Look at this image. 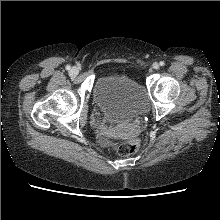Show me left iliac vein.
I'll list each match as a JSON object with an SVG mask.
<instances>
[{"label":"left iliac vein","instance_id":"obj_1","mask_svg":"<svg viewBox=\"0 0 220 220\" xmlns=\"http://www.w3.org/2000/svg\"><path fill=\"white\" fill-rule=\"evenodd\" d=\"M159 68V64L158 63H154L153 64V69L157 70Z\"/></svg>","mask_w":220,"mask_h":220}]
</instances>
